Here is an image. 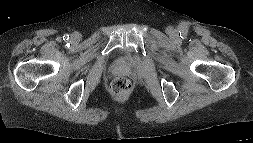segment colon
<instances>
[{
  "instance_id": "colon-1",
  "label": "colon",
  "mask_w": 253,
  "mask_h": 143,
  "mask_svg": "<svg viewBox=\"0 0 253 143\" xmlns=\"http://www.w3.org/2000/svg\"><path fill=\"white\" fill-rule=\"evenodd\" d=\"M130 89V81L123 76L117 77L111 84V90L114 94H124Z\"/></svg>"
}]
</instances>
